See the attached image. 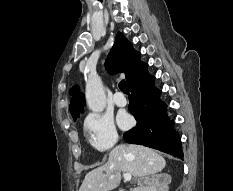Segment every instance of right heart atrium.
<instances>
[{
	"instance_id": "obj_1",
	"label": "right heart atrium",
	"mask_w": 233,
	"mask_h": 191,
	"mask_svg": "<svg viewBox=\"0 0 233 191\" xmlns=\"http://www.w3.org/2000/svg\"><path fill=\"white\" fill-rule=\"evenodd\" d=\"M84 129L90 144L98 151L112 148L118 140V133L111 117L99 113L87 116Z\"/></svg>"
}]
</instances>
